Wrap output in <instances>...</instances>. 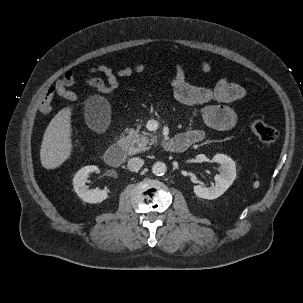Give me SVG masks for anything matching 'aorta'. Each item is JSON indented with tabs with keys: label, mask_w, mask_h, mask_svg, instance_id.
Returning <instances> with one entry per match:
<instances>
[{
	"label": "aorta",
	"mask_w": 303,
	"mask_h": 303,
	"mask_svg": "<svg viewBox=\"0 0 303 303\" xmlns=\"http://www.w3.org/2000/svg\"><path fill=\"white\" fill-rule=\"evenodd\" d=\"M167 171V166L164 162H156L152 166V172L156 176H163Z\"/></svg>",
	"instance_id": "obj_1"
}]
</instances>
